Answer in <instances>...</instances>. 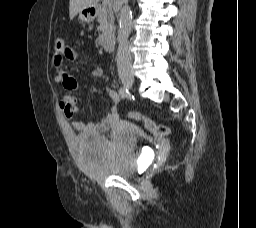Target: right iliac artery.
I'll return each instance as SVG.
<instances>
[{
  "label": "right iliac artery",
  "mask_w": 256,
  "mask_h": 228,
  "mask_svg": "<svg viewBox=\"0 0 256 228\" xmlns=\"http://www.w3.org/2000/svg\"><path fill=\"white\" fill-rule=\"evenodd\" d=\"M119 95L121 96V98H127L129 96V91L127 89V87L123 86L119 89Z\"/></svg>",
  "instance_id": "right-iliac-artery-1"
}]
</instances>
